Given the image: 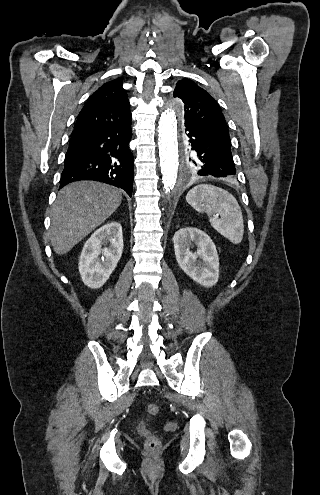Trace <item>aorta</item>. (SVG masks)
<instances>
[{
	"label": "aorta",
	"instance_id": "obj_1",
	"mask_svg": "<svg viewBox=\"0 0 320 495\" xmlns=\"http://www.w3.org/2000/svg\"><path fill=\"white\" fill-rule=\"evenodd\" d=\"M182 111V101H171L162 113L158 125V146L163 188L170 191L177 181L179 154L177 134V113ZM190 179L186 177V181ZM161 201L155 208L157 214H163Z\"/></svg>",
	"mask_w": 320,
	"mask_h": 495
}]
</instances>
